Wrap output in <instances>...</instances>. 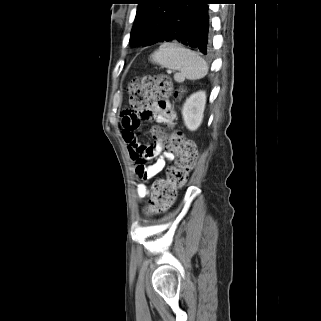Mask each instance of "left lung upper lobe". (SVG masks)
Instances as JSON below:
<instances>
[{"label":"left lung upper lobe","mask_w":321,"mask_h":321,"mask_svg":"<svg viewBox=\"0 0 321 321\" xmlns=\"http://www.w3.org/2000/svg\"><path fill=\"white\" fill-rule=\"evenodd\" d=\"M178 0H137L138 8L129 43L152 45L163 39L166 24Z\"/></svg>","instance_id":"5c2ea615"}]
</instances>
